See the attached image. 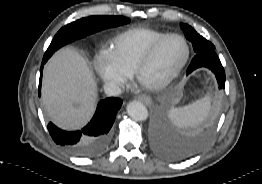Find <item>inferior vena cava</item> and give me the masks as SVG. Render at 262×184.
I'll list each match as a JSON object with an SVG mask.
<instances>
[{"label":"inferior vena cava","mask_w":262,"mask_h":184,"mask_svg":"<svg viewBox=\"0 0 262 184\" xmlns=\"http://www.w3.org/2000/svg\"><path fill=\"white\" fill-rule=\"evenodd\" d=\"M104 91L107 96H119L122 93V90L119 85L113 82L106 83L104 85Z\"/></svg>","instance_id":"inferior-vena-cava-1"}]
</instances>
